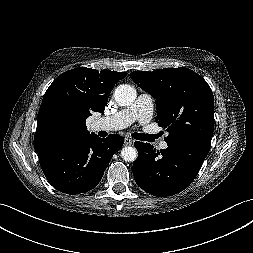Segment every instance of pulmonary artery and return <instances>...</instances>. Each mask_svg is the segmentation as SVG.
Instances as JSON below:
<instances>
[{"label":"pulmonary artery","mask_w":253,"mask_h":253,"mask_svg":"<svg viewBox=\"0 0 253 253\" xmlns=\"http://www.w3.org/2000/svg\"><path fill=\"white\" fill-rule=\"evenodd\" d=\"M153 114V99L148 94H140L135 102L127 108L120 110L114 115L103 117L96 122V127L105 130L123 129L135 121L145 124L148 123ZM160 149H167L166 141L158 144Z\"/></svg>","instance_id":"pulmonary-artery-1"}]
</instances>
